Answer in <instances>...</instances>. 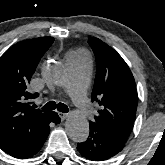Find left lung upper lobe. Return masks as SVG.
<instances>
[{"label": "left lung upper lobe", "mask_w": 165, "mask_h": 165, "mask_svg": "<svg viewBox=\"0 0 165 165\" xmlns=\"http://www.w3.org/2000/svg\"><path fill=\"white\" fill-rule=\"evenodd\" d=\"M96 57L92 102L100 109L89 124L127 140L136 116L137 91L134 77L122 57L98 38H89Z\"/></svg>", "instance_id": "5c2ea615"}]
</instances>
